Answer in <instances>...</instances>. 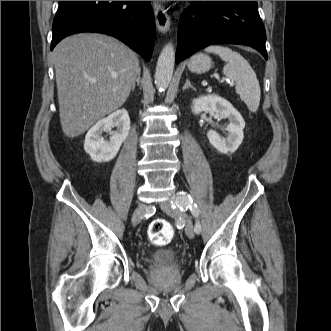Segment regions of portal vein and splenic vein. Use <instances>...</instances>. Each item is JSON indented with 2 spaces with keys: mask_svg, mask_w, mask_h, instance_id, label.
I'll return each instance as SVG.
<instances>
[{
  "mask_svg": "<svg viewBox=\"0 0 331 331\" xmlns=\"http://www.w3.org/2000/svg\"><path fill=\"white\" fill-rule=\"evenodd\" d=\"M223 81H225V79H221V80H220V82H223ZM228 83H229L230 85H233V84H234L233 82H230V81H229Z\"/></svg>",
  "mask_w": 331,
  "mask_h": 331,
  "instance_id": "portal-vein-and-splenic-vein-1",
  "label": "portal vein and splenic vein"
}]
</instances>
